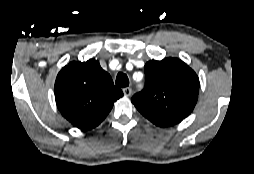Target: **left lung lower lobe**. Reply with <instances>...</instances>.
<instances>
[{"mask_svg":"<svg viewBox=\"0 0 254 174\" xmlns=\"http://www.w3.org/2000/svg\"><path fill=\"white\" fill-rule=\"evenodd\" d=\"M155 125L160 126V127H168V126H172L174 124L172 123H164V122H153Z\"/></svg>","mask_w":254,"mask_h":174,"instance_id":"obj_1","label":"left lung lower lobe"}]
</instances>
